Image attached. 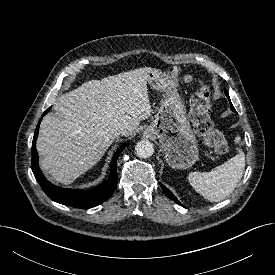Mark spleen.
Returning a JSON list of instances; mask_svg holds the SVG:
<instances>
[{
    "instance_id": "obj_1",
    "label": "spleen",
    "mask_w": 275,
    "mask_h": 275,
    "mask_svg": "<svg viewBox=\"0 0 275 275\" xmlns=\"http://www.w3.org/2000/svg\"><path fill=\"white\" fill-rule=\"evenodd\" d=\"M240 142V136H236L235 143ZM245 169V154L238 148V154L217 166L210 172H191L188 180L191 186L210 202H218L225 199L236 188L243 176Z\"/></svg>"
}]
</instances>
